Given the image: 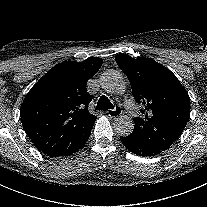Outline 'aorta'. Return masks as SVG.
<instances>
[{"label": "aorta", "mask_w": 207, "mask_h": 207, "mask_svg": "<svg viewBox=\"0 0 207 207\" xmlns=\"http://www.w3.org/2000/svg\"><path fill=\"white\" fill-rule=\"evenodd\" d=\"M100 84L107 93L123 94L126 89L124 76L114 69H109L102 73ZM113 126L115 132L120 136H128L134 129L133 121L125 115L118 116L114 120Z\"/></svg>", "instance_id": "aorta-1"}]
</instances>
